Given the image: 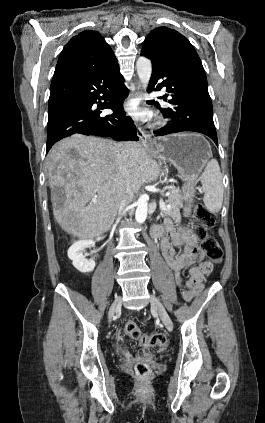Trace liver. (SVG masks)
Returning <instances> with one entry per match:
<instances>
[{"label":"liver","instance_id":"1","mask_svg":"<svg viewBox=\"0 0 265 423\" xmlns=\"http://www.w3.org/2000/svg\"><path fill=\"white\" fill-rule=\"evenodd\" d=\"M133 192L156 180L157 162L136 142L121 143ZM118 144L98 137L74 134L56 143L46 158L52 189L53 214L60 227L80 239H92L110 229L118 210L117 192L123 181ZM63 188L58 199L55 188ZM93 198L97 203L90 202Z\"/></svg>","mask_w":265,"mask_h":423}]
</instances>
